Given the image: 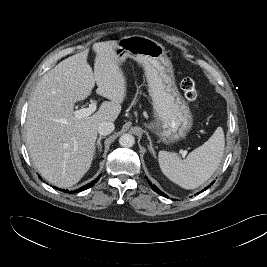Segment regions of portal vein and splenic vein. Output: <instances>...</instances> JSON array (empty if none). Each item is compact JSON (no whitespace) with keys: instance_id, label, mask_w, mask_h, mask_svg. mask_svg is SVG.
I'll return each mask as SVG.
<instances>
[{"instance_id":"obj_1","label":"portal vein and splenic vein","mask_w":267,"mask_h":267,"mask_svg":"<svg viewBox=\"0 0 267 267\" xmlns=\"http://www.w3.org/2000/svg\"><path fill=\"white\" fill-rule=\"evenodd\" d=\"M96 110V102L95 101H92L90 104H89V107L87 108H83V109H80V110H76L73 112V115L75 118L77 119H80V118H83V117H87V116H90L93 112H95ZM182 156L185 157L186 156V151H182Z\"/></svg>"}]
</instances>
